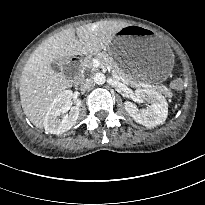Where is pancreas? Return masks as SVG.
Masks as SVG:
<instances>
[{"instance_id": "cf45deb5", "label": "pancreas", "mask_w": 205, "mask_h": 205, "mask_svg": "<svg viewBox=\"0 0 205 205\" xmlns=\"http://www.w3.org/2000/svg\"><path fill=\"white\" fill-rule=\"evenodd\" d=\"M98 59L101 62H104L112 71V75L114 77H119L120 79L125 80L126 82H129L132 85L137 84L136 81H134L130 76H128L126 73H124L116 64V62L105 53H97L94 55H90L86 57L83 61V66L85 68L90 69L91 71H95L96 67L93 65V60Z\"/></svg>"}]
</instances>
